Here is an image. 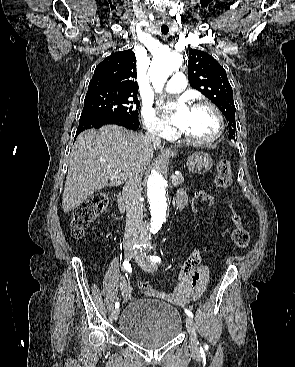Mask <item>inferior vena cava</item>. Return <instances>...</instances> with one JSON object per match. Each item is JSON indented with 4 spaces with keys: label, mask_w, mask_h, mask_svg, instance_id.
Instances as JSON below:
<instances>
[{
    "label": "inferior vena cava",
    "mask_w": 295,
    "mask_h": 367,
    "mask_svg": "<svg viewBox=\"0 0 295 367\" xmlns=\"http://www.w3.org/2000/svg\"><path fill=\"white\" fill-rule=\"evenodd\" d=\"M145 138L159 145L161 140L156 132L149 130L145 134ZM123 198L126 204V228L123 239L124 246H130L138 238L139 233L143 229V203L141 201V179L130 178L123 187Z\"/></svg>",
    "instance_id": "602c4592"
}]
</instances>
